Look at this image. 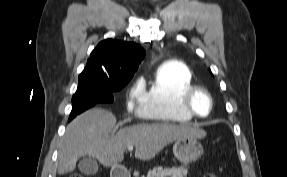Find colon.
<instances>
[{
    "label": "colon",
    "mask_w": 287,
    "mask_h": 177,
    "mask_svg": "<svg viewBox=\"0 0 287 177\" xmlns=\"http://www.w3.org/2000/svg\"><path fill=\"white\" fill-rule=\"evenodd\" d=\"M71 177H82V176H80V175H72ZM202 177H217V175L215 173L208 172V173H205Z\"/></svg>",
    "instance_id": "5ec220e1"
}]
</instances>
